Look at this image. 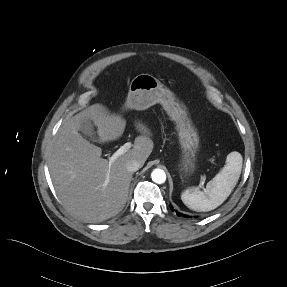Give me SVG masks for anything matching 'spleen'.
<instances>
[{
  "mask_svg": "<svg viewBox=\"0 0 287 287\" xmlns=\"http://www.w3.org/2000/svg\"><path fill=\"white\" fill-rule=\"evenodd\" d=\"M242 156L239 152H231L226 157V165L210 180L204 192L198 188L187 189L181 199L189 208L197 212L211 211L220 206L236 186L241 170Z\"/></svg>",
  "mask_w": 287,
  "mask_h": 287,
  "instance_id": "3e777b00",
  "label": "spleen"
}]
</instances>
